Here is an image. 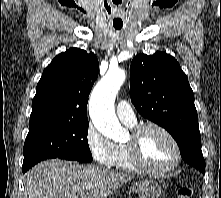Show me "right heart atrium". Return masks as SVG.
I'll return each mask as SVG.
<instances>
[{
  "instance_id": "1",
  "label": "right heart atrium",
  "mask_w": 221,
  "mask_h": 198,
  "mask_svg": "<svg viewBox=\"0 0 221 198\" xmlns=\"http://www.w3.org/2000/svg\"><path fill=\"white\" fill-rule=\"evenodd\" d=\"M85 143L94 161L102 166H111L114 144L104 137L92 123H89L86 128Z\"/></svg>"
}]
</instances>
